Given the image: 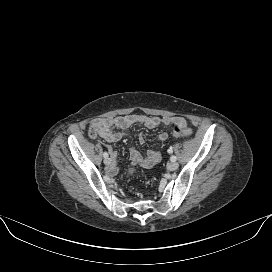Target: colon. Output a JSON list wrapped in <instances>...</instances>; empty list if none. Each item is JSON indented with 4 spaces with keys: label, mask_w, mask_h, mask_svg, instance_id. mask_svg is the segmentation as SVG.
<instances>
[{
    "label": "colon",
    "mask_w": 272,
    "mask_h": 272,
    "mask_svg": "<svg viewBox=\"0 0 272 272\" xmlns=\"http://www.w3.org/2000/svg\"><path fill=\"white\" fill-rule=\"evenodd\" d=\"M192 134V130L187 128V127H182V126H179V125H175L173 127V135L176 136V137H189L191 136ZM133 173V170L132 169H129L127 171V174L130 175Z\"/></svg>",
    "instance_id": "colon-1"
}]
</instances>
